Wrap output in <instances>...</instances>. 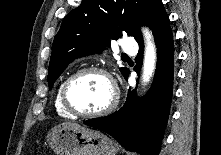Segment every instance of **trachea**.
<instances>
[{"label": "trachea", "instance_id": "trachea-1", "mask_svg": "<svg viewBox=\"0 0 221 155\" xmlns=\"http://www.w3.org/2000/svg\"><path fill=\"white\" fill-rule=\"evenodd\" d=\"M123 57H124V58H127L128 56H127V55H123Z\"/></svg>", "mask_w": 221, "mask_h": 155}]
</instances>
